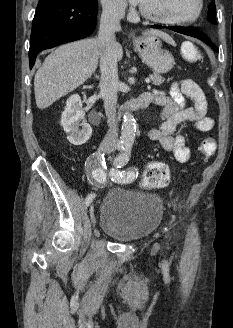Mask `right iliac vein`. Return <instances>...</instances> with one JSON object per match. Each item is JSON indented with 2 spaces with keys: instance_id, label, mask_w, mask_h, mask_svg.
Returning a JSON list of instances; mask_svg holds the SVG:
<instances>
[{
  "instance_id": "right-iliac-vein-1",
  "label": "right iliac vein",
  "mask_w": 233,
  "mask_h": 328,
  "mask_svg": "<svg viewBox=\"0 0 233 328\" xmlns=\"http://www.w3.org/2000/svg\"><path fill=\"white\" fill-rule=\"evenodd\" d=\"M105 150H107V148L102 147V148L99 149V152H103ZM90 219H91L92 225L95 226L96 218H95L94 207L93 206L90 207Z\"/></svg>"
}]
</instances>
